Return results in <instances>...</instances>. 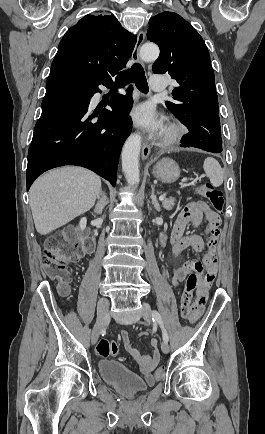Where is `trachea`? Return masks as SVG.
<instances>
[{
  "mask_svg": "<svg viewBox=\"0 0 265 434\" xmlns=\"http://www.w3.org/2000/svg\"><path fill=\"white\" fill-rule=\"evenodd\" d=\"M131 82H135L136 87L141 92H148V84L145 77V72L140 63L133 64L131 69L124 70V72H120L117 75L116 83L126 85Z\"/></svg>",
  "mask_w": 265,
  "mask_h": 434,
  "instance_id": "1",
  "label": "trachea"
}]
</instances>
